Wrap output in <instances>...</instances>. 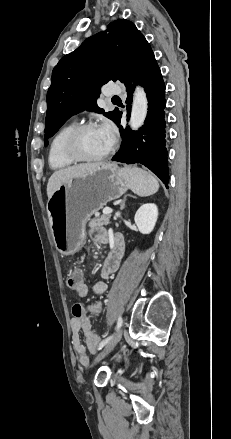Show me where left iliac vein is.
Returning a JSON list of instances; mask_svg holds the SVG:
<instances>
[{
  "mask_svg": "<svg viewBox=\"0 0 231 439\" xmlns=\"http://www.w3.org/2000/svg\"><path fill=\"white\" fill-rule=\"evenodd\" d=\"M125 330L121 328L115 336L108 342L104 350L95 358L94 364L103 359L108 353L112 351V349L116 346V344L121 340Z\"/></svg>",
  "mask_w": 231,
  "mask_h": 439,
  "instance_id": "4c4485c4",
  "label": "left iliac vein"
}]
</instances>
